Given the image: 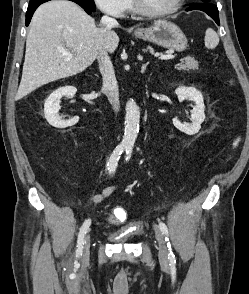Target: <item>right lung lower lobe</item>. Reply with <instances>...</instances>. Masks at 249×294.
I'll list each match as a JSON object with an SVG mask.
<instances>
[{"mask_svg": "<svg viewBox=\"0 0 249 294\" xmlns=\"http://www.w3.org/2000/svg\"><path fill=\"white\" fill-rule=\"evenodd\" d=\"M46 1H49V0H40V1H37V2H34V3H29V6H28V9H27V13H26V26L29 25L30 23V20L32 18V15L34 13V11L36 10V8L41 5L42 3L46 2ZM75 3H77L78 5H80L88 14H91L92 10H90L89 8L87 7H84L79 1L77 0H71Z\"/></svg>", "mask_w": 249, "mask_h": 294, "instance_id": "right-lung-lower-lobe-1", "label": "right lung lower lobe"}]
</instances>
